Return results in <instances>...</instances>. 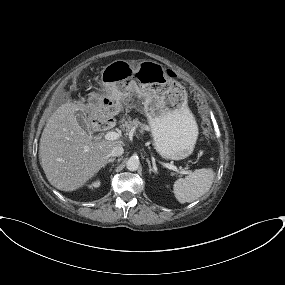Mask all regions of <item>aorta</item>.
I'll use <instances>...</instances> for the list:
<instances>
[{"label":"aorta","instance_id":"1","mask_svg":"<svg viewBox=\"0 0 285 285\" xmlns=\"http://www.w3.org/2000/svg\"><path fill=\"white\" fill-rule=\"evenodd\" d=\"M140 166V162L137 158L131 157L126 163V167L129 171H136Z\"/></svg>","mask_w":285,"mask_h":285}]
</instances>
